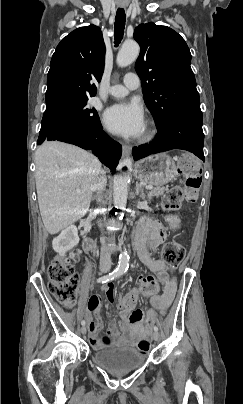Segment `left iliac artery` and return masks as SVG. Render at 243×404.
<instances>
[{"mask_svg":"<svg viewBox=\"0 0 243 404\" xmlns=\"http://www.w3.org/2000/svg\"><path fill=\"white\" fill-rule=\"evenodd\" d=\"M118 276H120V274ZM154 331L158 332V327L157 326H154Z\"/></svg>","mask_w":243,"mask_h":404,"instance_id":"44dca946","label":"left iliac artery"}]
</instances>
